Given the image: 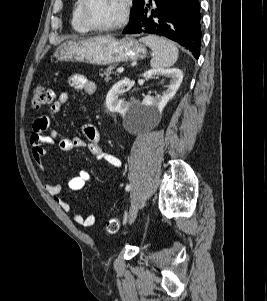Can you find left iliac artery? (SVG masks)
Masks as SVG:
<instances>
[{
  "label": "left iliac artery",
  "mask_w": 267,
  "mask_h": 301,
  "mask_svg": "<svg viewBox=\"0 0 267 301\" xmlns=\"http://www.w3.org/2000/svg\"><path fill=\"white\" fill-rule=\"evenodd\" d=\"M130 189H131V185L127 184L126 187H125V190L129 191ZM126 220H127V213H125V215H124V223L126 222Z\"/></svg>",
  "instance_id": "44dca946"
}]
</instances>
